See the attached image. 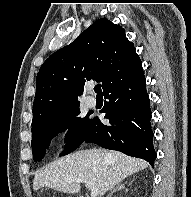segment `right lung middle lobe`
<instances>
[{"label": "right lung middle lobe", "instance_id": "1", "mask_svg": "<svg viewBox=\"0 0 191 197\" xmlns=\"http://www.w3.org/2000/svg\"><path fill=\"white\" fill-rule=\"evenodd\" d=\"M79 105L58 113L32 128V153L35 162H39L45 155L51 139L58 133L69 129L66 134L65 151L63 156L74 151L86 138L93 120L89 114L79 117Z\"/></svg>", "mask_w": 191, "mask_h": 197}]
</instances>
